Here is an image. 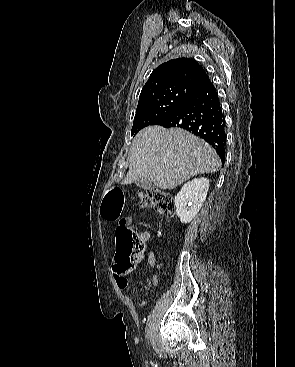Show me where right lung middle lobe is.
I'll return each mask as SVG.
<instances>
[{
	"label": "right lung middle lobe",
	"mask_w": 295,
	"mask_h": 367,
	"mask_svg": "<svg viewBox=\"0 0 295 367\" xmlns=\"http://www.w3.org/2000/svg\"><path fill=\"white\" fill-rule=\"evenodd\" d=\"M193 93L189 89L176 87L139 99L131 130L132 136L144 127L155 125L166 118Z\"/></svg>",
	"instance_id": "1"
}]
</instances>
